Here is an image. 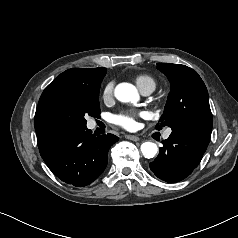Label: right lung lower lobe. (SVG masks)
<instances>
[{
  "label": "right lung lower lobe",
  "instance_id": "1",
  "mask_svg": "<svg viewBox=\"0 0 238 238\" xmlns=\"http://www.w3.org/2000/svg\"><path fill=\"white\" fill-rule=\"evenodd\" d=\"M91 133L86 126H72L38 139L43 160L67 184L83 187L97 179L107 165L109 148L119 139Z\"/></svg>",
  "mask_w": 238,
  "mask_h": 238
}]
</instances>
